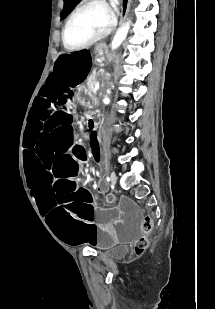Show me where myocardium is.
I'll use <instances>...</instances> for the list:
<instances>
[{
    "instance_id": "obj_1",
    "label": "myocardium",
    "mask_w": 215,
    "mask_h": 309,
    "mask_svg": "<svg viewBox=\"0 0 215 309\" xmlns=\"http://www.w3.org/2000/svg\"><path fill=\"white\" fill-rule=\"evenodd\" d=\"M93 7H98L104 11L107 10V6L105 4H87L81 7H78L75 11L72 12V14L69 16V18L67 19V21L64 24V27L62 29V33H61V37H62V41H63V45L65 48H89L91 47L99 38H107L108 34H113L114 32V27L116 25V20H115V16L114 15H109L108 16V23H104L103 27H94L91 36L92 38H94L93 40L90 39H86V43L78 45V46H71V42H67V32L68 29L72 23V21L74 20V18L81 13L84 10L93 8ZM111 12V11H110ZM77 44V43H76Z\"/></svg>"
}]
</instances>
